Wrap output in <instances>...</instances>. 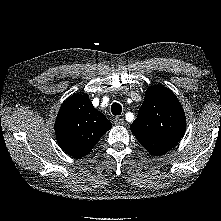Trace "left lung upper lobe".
Returning <instances> with one entry per match:
<instances>
[{"instance_id":"left-lung-upper-lobe-1","label":"left lung upper lobe","mask_w":221,"mask_h":221,"mask_svg":"<svg viewBox=\"0 0 221 221\" xmlns=\"http://www.w3.org/2000/svg\"><path fill=\"white\" fill-rule=\"evenodd\" d=\"M185 128V113L179 100L170 89L159 85L147 89L139 115L130 125L140 144L157 156L177 145Z\"/></svg>"}]
</instances>
